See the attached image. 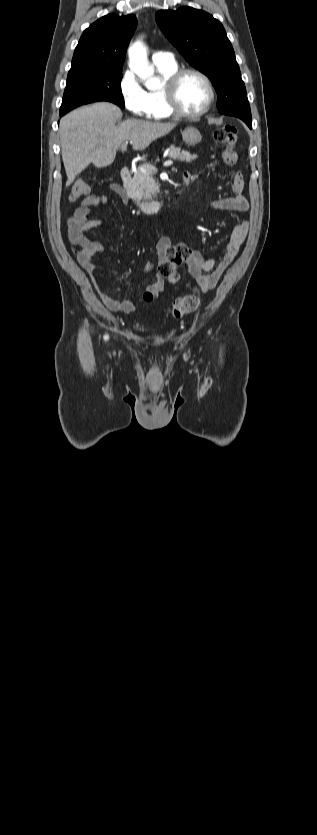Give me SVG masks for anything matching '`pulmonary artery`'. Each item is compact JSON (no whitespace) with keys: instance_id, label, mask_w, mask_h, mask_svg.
I'll return each instance as SVG.
<instances>
[{"instance_id":"e3ab8cb5","label":"pulmonary artery","mask_w":317,"mask_h":835,"mask_svg":"<svg viewBox=\"0 0 317 835\" xmlns=\"http://www.w3.org/2000/svg\"><path fill=\"white\" fill-rule=\"evenodd\" d=\"M154 65H169L175 63L174 57L169 52L157 51L152 55Z\"/></svg>"}]
</instances>
